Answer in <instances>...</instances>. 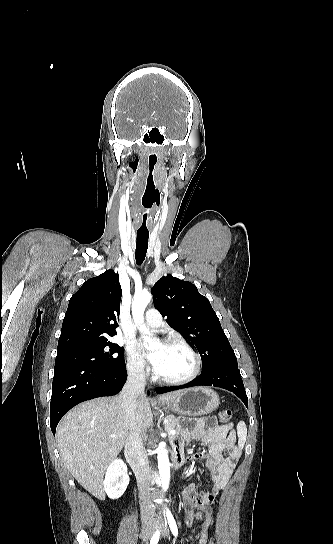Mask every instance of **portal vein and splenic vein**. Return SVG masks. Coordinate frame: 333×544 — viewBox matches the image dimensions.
Wrapping results in <instances>:
<instances>
[{"label": "portal vein and splenic vein", "mask_w": 333, "mask_h": 544, "mask_svg": "<svg viewBox=\"0 0 333 544\" xmlns=\"http://www.w3.org/2000/svg\"><path fill=\"white\" fill-rule=\"evenodd\" d=\"M169 434L174 435V434H176V431L175 430H170ZM111 437L115 438L116 435H111Z\"/></svg>", "instance_id": "1"}]
</instances>
